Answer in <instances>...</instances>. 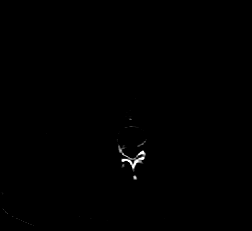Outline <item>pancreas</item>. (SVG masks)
<instances>
[{
    "label": "pancreas",
    "mask_w": 252,
    "mask_h": 231,
    "mask_svg": "<svg viewBox=\"0 0 252 231\" xmlns=\"http://www.w3.org/2000/svg\"><path fill=\"white\" fill-rule=\"evenodd\" d=\"M124 100H125V99H123V100L120 102V104H124Z\"/></svg>",
    "instance_id": "pancreas-1"
}]
</instances>
